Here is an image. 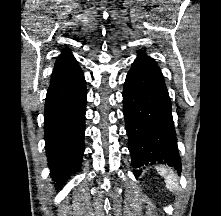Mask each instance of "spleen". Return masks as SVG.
<instances>
[{
	"label": "spleen",
	"mask_w": 221,
	"mask_h": 216,
	"mask_svg": "<svg viewBox=\"0 0 221 216\" xmlns=\"http://www.w3.org/2000/svg\"><path fill=\"white\" fill-rule=\"evenodd\" d=\"M158 173L164 177L166 187L171 191L174 192L178 189V183H177V175L172 170H167L164 167H158L157 168Z\"/></svg>",
	"instance_id": "3e777b00"
}]
</instances>
